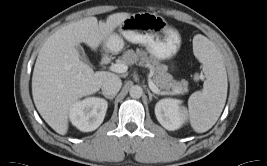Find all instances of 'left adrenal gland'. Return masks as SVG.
<instances>
[{
    "instance_id": "obj_1",
    "label": "left adrenal gland",
    "mask_w": 267,
    "mask_h": 166,
    "mask_svg": "<svg viewBox=\"0 0 267 166\" xmlns=\"http://www.w3.org/2000/svg\"><path fill=\"white\" fill-rule=\"evenodd\" d=\"M147 93L149 95V101H151L153 97L157 98V96L155 94H152L149 89H147Z\"/></svg>"
}]
</instances>
